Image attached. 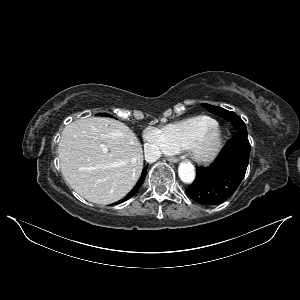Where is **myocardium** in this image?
Masks as SVG:
<instances>
[{"label":"myocardium","instance_id":"f54148a6","mask_svg":"<svg viewBox=\"0 0 300 300\" xmlns=\"http://www.w3.org/2000/svg\"><path fill=\"white\" fill-rule=\"evenodd\" d=\"M223 146V131L216 127L200 134L189 146L191 158L197 163L212 162Z\"/></svg>","mask_w":300,"mask_h":300}]
</instances>
